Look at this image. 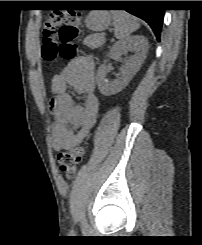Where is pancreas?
<instances>
[{
	"label": "pancreas",
	"mask_w": 202,
	"mask_h": 245,
	"mask_svg": "<svg viewBox=\"0 0 202 245\" xmlns=\"http://www.w3.org/2000/svg\"><path fill=\"white\" fill-rule=\"evenodd\" d=\"M83 43L91 49H96L105 43V38L103 36L93 34L87 36Z\"/></svg>",
	"instance_id": "1"
}]
</instances>
